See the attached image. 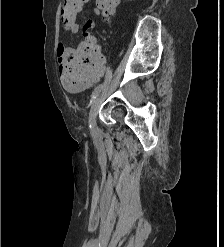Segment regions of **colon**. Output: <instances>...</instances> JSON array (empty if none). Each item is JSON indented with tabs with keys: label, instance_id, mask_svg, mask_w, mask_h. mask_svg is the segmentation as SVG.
<instances>
[{
	"label": "colon",
	"instance_id": "1",
	"mask_svg": "<svg viewBox=\"0 0 224 247\" xmlns=\"http://www.w3.org/2000/svg\"><path fill=\"white\" fill-rule=\"evenodd\" d=\"M119 0H97L98 8L106 17H111ZM83 0H63L60 7V20L64 28L76 23ZM105 72V66L96 40L86 37L76 54L60 64L62 83L69 90H82L97 80Z\"/></svg>",
	"mask_w": 224,
	"mask_h": 247
}]
</instances>
